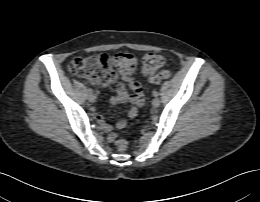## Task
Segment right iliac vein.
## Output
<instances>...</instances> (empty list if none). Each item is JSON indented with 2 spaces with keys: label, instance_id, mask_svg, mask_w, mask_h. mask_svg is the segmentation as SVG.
I'll list each match as a JSON object with an SVG mask.
<instances>
[{
  "label": "right iliac vein",
  "instance_id": "1",
  "mask_svg": "<svg viewBox=\"0 0 260 202\" xmlns=\"http://www.w3.org/2000/svg\"><path fill=\"white\" fill-rule=\"evenodd\" d=\"M95 99H96V97H95L93 94H90V95L88 96V100H89V102H91V103H94V102H95Z\"/></svg>",
  "mask_w": 260,
  "mask_h": 202
}]
</instances>
